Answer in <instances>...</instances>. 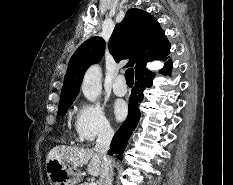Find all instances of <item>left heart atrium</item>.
<instances>
[{
    "instance_id": "1",
    "label": "left heart atrium",
    "mask_w": 233,
    "mask_h": 185,
    "mask_svg": "<svg viewBox=\"0 0 233 185\" xmlns=\"http://www.w3.org/2000/svg\"><path fill=\"white\" fill-rule=\"evenodd\" d=\"M127 107L123 101H116L113 105V113L115 117L120 120L123 119L126 115Z\"/></svg>"
}]
</instances>
